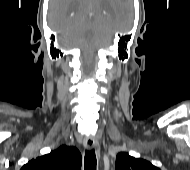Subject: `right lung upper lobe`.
<instances>
[{"label": "right lung upper lobe", "mask_w": 190, "mask_h": 170, "mask_svg": "<svg viewBox=\"0 0 190 170\" xmlns=\"http://www.w3.org/2000/svg\"><path fill=\"white\" fill-rule=\"evenodd\" d=\"M81 153L75 147L61 146L49 154L32 159L21 170H80Z\"/></svg>", "instance_id": "right-lung-upper-lobe-1"}]
</instances>
